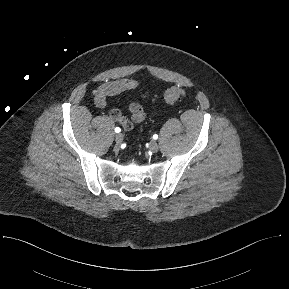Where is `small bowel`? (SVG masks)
<instances>
[{
    "label": "small bowel",
    "instance_id": "small-bowel-1",
    "mask_svg": "<svg viewBox=\"0 0 289 289\" xmlns=\"http://www.w3.org/2000/svg\"><path fill=\"white\" fill-rule=\"evenodd\" d=\"M141 82L138 79H117L101 84L94 93V102L98 108H104L107 105L109 97L117 96L126 91L136 89ZM130 118L122 115V113L114 108L109 111V117L117 122L124 130L130 131L135 124L141 123L146 119V110L137 102H132L128 105Z\"/></svg>",
    "mask_w": 289,
    "mask_h": 289
}]
</instances>
